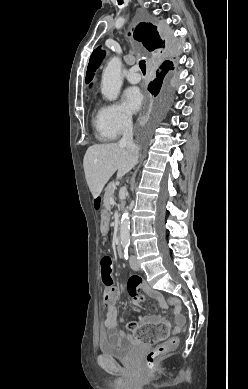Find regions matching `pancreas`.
I'll return each instance as SVG.
<instances>
[{"label": "pancreas", "instance_id": "1", "mask_svg": "<svg viewBox=\"0 0 248 389\" xmlns=\"http://www.w3.org/2000/svg\"><path fill=\"white\" fill-rule=\"evenodd\" d=\"M116 189V186L113 182L109 183L108 186L105 189V194H104V207L106 211L110 210V199L112 198L114 191Z\"/></svg>", "mask_w": 248, "mask_h": 389}]
</instances>
